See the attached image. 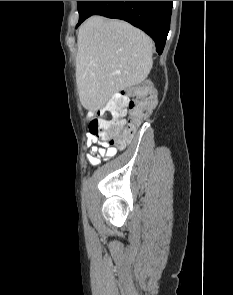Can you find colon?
<instances>
[{"label": "colon", "mask_w": 233, "mask_h": 295, "mask_svg": "<svg viewBox=\"0 0 233 295\" xmlns=\"http://www.w3.org/2000/svg\"><path fill=\"white\" fill-rule=\"evenodd\" d=\"M154 107L153 92L148 83H141L125 93L114 95L91 119L89 131L111 147H124L132 140L136 128Z\"/></svg>", "instance_id": "5ec220e1"}]
</instances>
